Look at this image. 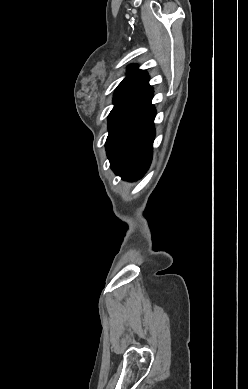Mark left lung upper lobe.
I'll return each instance as SVG.
<instances>
[{"instance_id":"left-lung-upper-lobe-1","label":"left lung upper lobe","mask_w":248,"mask_h":389,"mask_svg":"<svg viewBox=\"0 0 248 389\" xmlns=\"http://www.w3.org/2000/svg\"><path fill=\"white\" fill-rule=\"evenodd\" d=\"M145 71L139 70L136 65H131L129 67V74L123 79V81L115 89L114 97L128 87L132 82H134L139 76H141Z\"/></svg>"}]
</instances>
